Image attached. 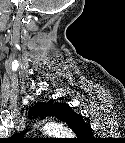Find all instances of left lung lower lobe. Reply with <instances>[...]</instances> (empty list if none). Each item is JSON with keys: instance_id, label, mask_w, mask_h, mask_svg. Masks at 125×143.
<instances>
[{"instance_id": "obj_1", "label": "left lung lower lobe", "mask_w": 125, "mask_h": 143, "mask_svg": "<svg viewBox=\"0 0 125 143\" xmlns=\"http://www.w3.org/2000/svg\"><path fill=\"white\" fill-rule=\"evenodd\" d=\"M65 111H66L65 113L66 115L64 117V122H66L69 127L83 120L82 116L73 112L69 105L65 106ZM91 135H92V130L90 131V133L86 135L82 134V136H85V137H90Z\"/></svg>"}]
</instances>
